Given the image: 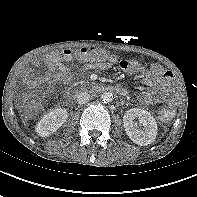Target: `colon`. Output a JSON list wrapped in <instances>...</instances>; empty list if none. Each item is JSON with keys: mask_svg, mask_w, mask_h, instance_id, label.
Instances as JSON below:
<instances>
[{"mask_svg": "<svg viewBox=\"0 0 197 197\" xmlns=\"http://www.w3.org/2000/svg\"><path fill=\"white\" fill-rule=\"evenodd\" d=\"M77 58L82 61H91L104 63L112 58V56L103 49L93 48H80L76 51L69 49L63 50L62 52H53L48 56V59L53 62L58 61H71L72 59ZM122 68L129 67V61L124 60L121 62ZM174 115V112L171 107L164 106L160 110V119L163 121H169Z\"/></svg>", "mask_w": 197, "mask_h": 197, "instance_id": "1", "label": "colon"}]
</instances>
